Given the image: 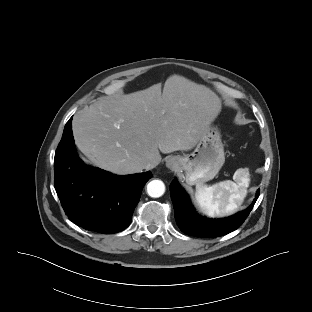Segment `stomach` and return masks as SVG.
I'll use <instances>...</instances> for the list:
<instances>
[{
	"instance_id": "obj_1",
	"label": "stomach",
	"mask_w": 312,
	"mask_h": 312,
	"mask_svg": "<svg viewBox=\"0 0 312 312\" xmlns=\"http://www.w3.org/2000/svg\"><path fill=\"white\" fill-rule=\"evenodd\" d=\"M176 170L184 172L189 185L212 180L225 162L224 145L217 127L210 126L190 154L175 156Z\"/></svg>"
}]
</instances>
